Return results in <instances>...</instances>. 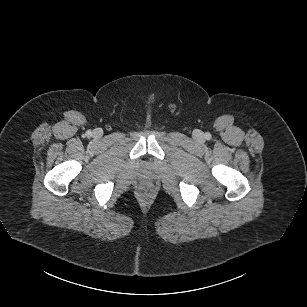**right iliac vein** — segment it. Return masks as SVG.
Segmentation results:
<instances>
[{
  "mask_svg": "<svg viewBox=\"0 0 307 307\" xmlns=\"http://www.w3.org/2000/svg\"><path fill=\"white\" fill-rule=\"evenodd\" d=\"M94 134H95L96 137H99L101 135V131L97 130V131L94 132Z\"/></svg>",
  "mask_w": 307,
  "mask_h": 307,
  "instance_id": "right-iliac-vein-1",
  "label": "right iliac vein"
}]
</instances>
